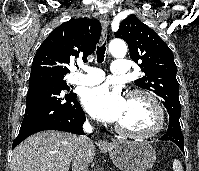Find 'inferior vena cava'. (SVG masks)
Returning <instances> with one entry per match:
<instances>
[{
	"mask_svg": "<svg viewBox=\"0 0 199 171\" xmlns=\"http://www.w3.org/2000/svg\"><path fill=\"white\" fill-rule=\"evenodd\" d=\"M85 133L93 132V127L85 122L83 125ZM86 135H81L77 139V148L72 160V171H88V162L86 159L85 148L89 143Z\"/></svg>",
	"mask_w": 199,
	"mask_h": 171,
	"instance_id": "602c4592",
	"label": "inferior vena cava"
}]
</instances>
